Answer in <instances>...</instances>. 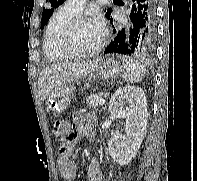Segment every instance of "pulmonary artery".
I'll use <instances>...</instances> for the list:
<instances>
[{"label": "pulmonary artery", "mask_w": 197, "mask_h": 181, "mask_svg": "<svg viewBox=\"0 0 197 181\" xmlns=\"http://www.w3.org/2000/svg\"><path fill=\"white\" fill-rule=\"evenodd\" d=\"M85 3H86V0H67L64 3V7H66L68 10L76 14H79L81 10L83 9Z\"/></svg>", "instance_id": "obj_1"}]
</instances>
